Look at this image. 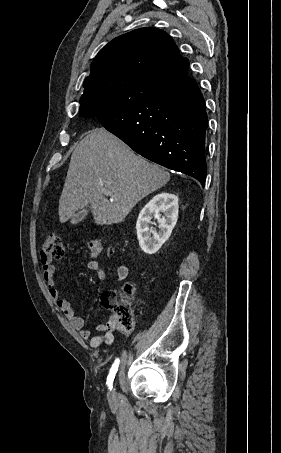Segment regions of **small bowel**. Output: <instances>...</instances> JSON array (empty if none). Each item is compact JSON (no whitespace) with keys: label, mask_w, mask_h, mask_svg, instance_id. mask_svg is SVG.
I'll use <instances>...</instances> for the list:
<instances>
[{"label":"small bowel","mask_w":281,"mask_h":453,"mask_svg":"<svg viewBox=\"0 0 281 453\" xmlns=\"http://www.w3.org/2000/svg\"><path fill=\"white\" fill-rule=\"evenodd\" d=\"M42 279L46 283L49 296L56 301L58 308L63 312L67 319L72 323L73 327L80 331V335L83 339L88 340L89 345L92 349H98L102 344L108 346L113 344L114 335L112 328L115 323V318H110L107 324H98L97 331L101 334L93 335L89 330L85 328V319L78 315L75 308L70 301L63 298L62 293L55 281V269L54 266L47 260L42 261ZM89 269L96 273L100 280L106 281L108 275L104 273L102 267L96 263H89ZM128 276V268L126 265H120L115 274L116 281H123Z\"/></svg>","instance_id":"small-bowel-1"}]
</instances>
